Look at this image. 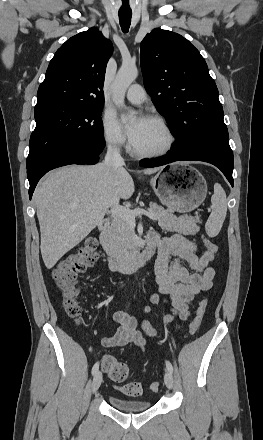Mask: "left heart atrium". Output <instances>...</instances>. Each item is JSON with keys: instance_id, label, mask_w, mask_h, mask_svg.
<instances>
[{"instance_id": "obj_1", "label": "left heart atrium", "mask_w": 263, "mask_h": 440, "mask_svg": "<svg viewBox=\"0 0 263 440\" xmlns=\"http://www.w3.org/2000/svg\"><path fill=\"white\" fill-rule=\"evenodd\" d=\"M145 120L146 119L140 118L128 127L127 134L132 143L137 139L140 128Z\"/></svg>"}]
</instances>
